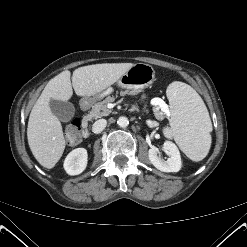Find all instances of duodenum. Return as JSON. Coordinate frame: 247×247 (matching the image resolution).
Instances as JSON below:
<instances>
[{"instance_id": "410a0bca", "label": "duodenum", "mask_w": 247, "mask_h": 247, "mask_svg": "<svg viewBox=\"0 0 247 247\" xmlns=\"http://www.w3.org/2000/svg\"><path fill=\"white\" fill-rule=\"evenodd\" d=\"M87 105H88V103L86 101L82 103L83 108H86ZM81 135L84 138H87L89 136V131L87 128V121L86 120H83L81 123Z\"/></svg>"}]
</instances>
